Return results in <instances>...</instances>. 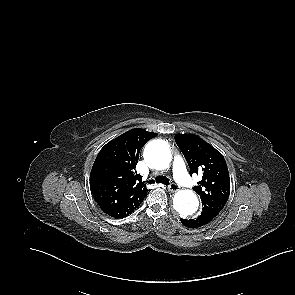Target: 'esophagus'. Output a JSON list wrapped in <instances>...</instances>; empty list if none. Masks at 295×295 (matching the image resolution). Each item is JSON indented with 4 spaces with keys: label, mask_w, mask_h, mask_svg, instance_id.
<instances>
[{
    "label": "esophagus",
    "mask_w": 295,
    "mask_h": 295,
    "mask_svg": "<svg viewBox=\"0 0 295 295\" xmlns=\"http://www.w3.org/2000/svg\"><path fill=\"white\" fill-rule=\"evenodd\" d=\"M178 190H179V188H178V186L175 185V184H171V185L168 186V191H169V192L174 193V192H176V191H178Z\"/></svg>",
    "instance_id": "esophagus-1"
}]
</instances>
